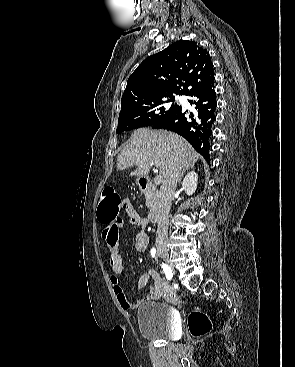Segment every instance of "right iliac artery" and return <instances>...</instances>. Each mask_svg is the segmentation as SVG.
<instances>
[{"label":"right iliac artery","instance_id":"1","mask_svg":"<svg viewBox=\"0 0 295 367\" xmlns=\"http://www.w3.org/2000/svg\"><path fill=\"white\" fill-rule=\"evenodd\" d=\"M150 254L154 258L156 256V249L152 248ZM162 268L166 275L167 280H171L173 276L171 268L165 263H162Z\"/></svg>","mask_w":295,"mask_h":367}]
</instances>
